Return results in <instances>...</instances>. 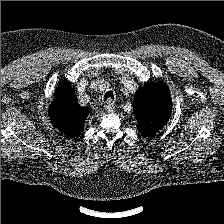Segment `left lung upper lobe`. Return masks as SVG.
Listing matches in <instances>:
<instances>
[{
  "label": "left lung upper lobe",
  "mask_w": 224,
  "mask_h": 224,
  "mask_svg": "<svg viewBox=\"0 0 224 224\" xmlns=\"http://www.w3.org/2000/svg\"><path fill=\"white\" fill-rule=\"evenodd\" d=\"M171 110L172 100L165 83L148 82L134 96L137 129L144 137L153 136L162 129L170 118Z\"/></svg>",
  "instance_id": "left-lung-upper-lobe-1"
}]
</instances>
